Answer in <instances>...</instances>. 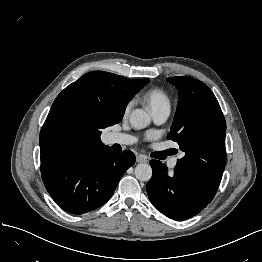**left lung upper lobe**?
<instances>
[{
	"label": "left lung upper lobe",
	"mask_w": 262,
	"mask_h": 262,
	"mask_svg": "<svg viewBox=\"0 0 262 262\" xmlns=\"http://www.w3.org/2000/svg\"><path fill=\"white\" fill-rule=\"evenodd\" d=\"M179 93L177 111L167 138L185 153L175 169L211 202L219 187L226 162V122L212 91L188 76L167 79Z\"/></svg>",
	"instance_id": "obj_1"
}]
</instances>
